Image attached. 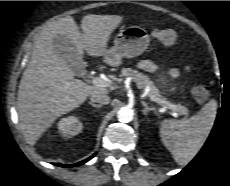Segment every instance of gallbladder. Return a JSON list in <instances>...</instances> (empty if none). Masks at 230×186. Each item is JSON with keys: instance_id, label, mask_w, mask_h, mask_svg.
Returning <instances> with one entry per match:
<instances>
[{"instance_id": "bac80fb5", "label": "gallbladder", "mask_w": 230, "mask_h": 186, "mask_svg": "<svg viewBox=\"0 0 230 186\" xmlns=\"http://www.w3.org/2000/svg\"><path fill=\"white\" fill-rule=\"evenodd\" d=\"M56 52L68 61L73 72L80 74L84 71L85 66L83 59L76 53L74 46L66 37H59L54 40Z\"/></svg>"}]
</instances>
